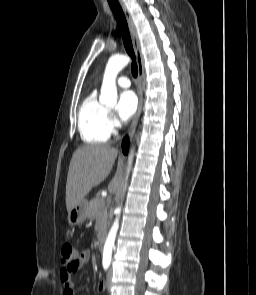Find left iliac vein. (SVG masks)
<instances>
[{"mask_svg":"<svg viewBox=\"0 0 256 295\" xmlns=\"http://www.w3.org/2000/svg\"><path fill=\"white\" fill-rule=\"evenodd\" d=\"M106 284H107V288L110 289V287L112 286V269H110L107 274Z\"/></svg>","mask_w":256,"mask_h":295,"instance_id":"1","label":"left iliac vein"}]
</instances>
